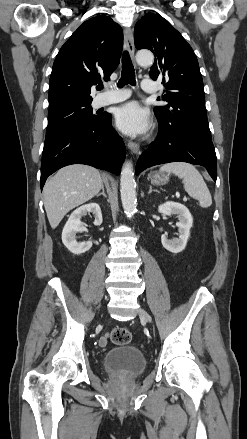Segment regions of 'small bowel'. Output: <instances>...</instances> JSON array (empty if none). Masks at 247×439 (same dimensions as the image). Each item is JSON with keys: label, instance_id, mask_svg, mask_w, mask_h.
<instances>
[{"label": "small bowel", "instance_id": "obj_1", "mask_svg": "<svg viewBox=\"0 0 247 439\" xmlns=\"http://www.w3.org/2000/svg\"><path fill=\"white\" fill-rule=\"evenodd\" d=\"M107 341H108V335H105L100 339L99 344L101 346H105L107 344Z\"/></svg>", "mask_w": 247, "mask_h": 439}]
</instances>
